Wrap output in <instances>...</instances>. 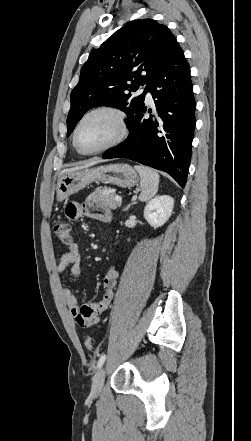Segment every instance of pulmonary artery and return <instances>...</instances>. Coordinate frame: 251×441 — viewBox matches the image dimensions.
I'll list each match as a JSON object with an SVG mask.
<instances>
[{"label":"pulmonary artery","instance_id":"pulmonary-artery-1","mask_svg":"<svg viewBox=\"0 0 251 441\" xmlns=\"http://www.w3.org/2000/svg\"><path fill=\"white\" fill-rule=\"evenodd\" d=\"M141 92H145V96H146L147 102L151 103L152 102V95H151V93L149 91H147L145 87H141L139 89V93H141Z\"/></svg>","mask_w":251,"mask_h":441}]
</instances>
